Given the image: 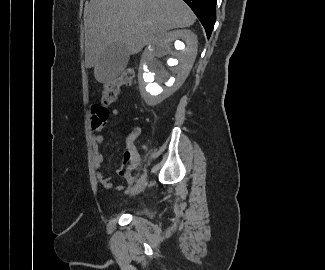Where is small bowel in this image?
Wrapping results in <instances>:
<instances>
[{"label": "small bowel", "mask_w": 325, "mask_h": 270, "mask_svg": "<svg viewBox=\"0 0 325 270\" xmlns=\"http://www.w3.org/2000/svg\"><path fill=\"white\" fill-rule=\"evenodd\" d=\"M93 119L91 123V130L93 132L92 136V152H93V161L96 171V178L98 182L105 188H112V182L110 178L104 176L102 173V163L104 156L99 150V145L103 143L104 138L100 133L104 128L107 121L110 120V117H118L119 111L114 109L110 112L109 103H95L93 106ZM139 129L135 127L131 134L127 137V152L122 158V163L117 168V174L123 176L126 180V183L129 186H132L135 182V177L125 169V165L129 163V168L133 169L137 164V151L134 145V141L138 137ZM117 190H123L124 186L122 184L117 185Z\"/></svg>", "instance_id": "1"}]
</instances>
